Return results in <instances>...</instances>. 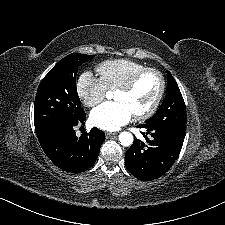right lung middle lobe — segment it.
Returning <instances> with one entry per match:
<instances>
[{
    "label": "right lung middle lobe",
    "mask_w": 225,
    "mask_h": 225,
    "mask_svg": "<svg viewBox=\"0 0 225 225\" xmlns=\"http://www.w3.org/2000/svg\"><path fill=\"white\" fill-rule=\"evenodd\" d=\"M95 55L72 53L56 64L41 81L34 103V124L39 134L70 123L84 111L76 88L78 67Z\"/></svg>",
    "instance_id": "1"
}]
</instances>
